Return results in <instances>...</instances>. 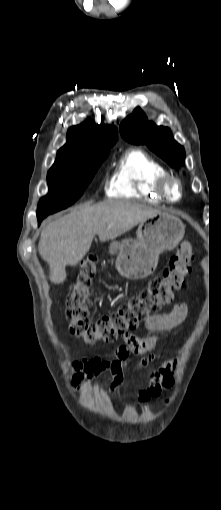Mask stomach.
I'll list each match as a JSON object with an SVG mask.
<instances>
[{
    "mask_svg": "<svg viewBox=\"0 0 221 510\" xmlns=\"http://www.w3.org/2000/svg\"><path fill=\"white\" fill-rule=\"evenodd\" d=\"M185 226L175 215L160 212L141 222L136 239L110 244L116 269L126 279L140 280L152 274L161 253L174 249L183 239Z\"/></svg>",
    "mask_w": 221,
    "mask_h": 510,
    "instance_id": "stomach-1",
    "label": "stomach"
}]
</instances>
